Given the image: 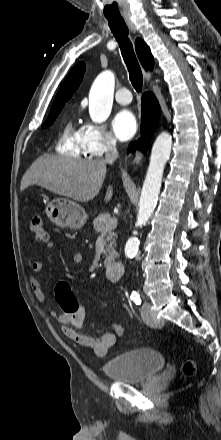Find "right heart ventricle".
Listing matches in <instances>:
<instances>
[{"mask_svg":"<svg viewBox=\"0 0 221 440\" xmlns=\"http://www.w3.org/2000/svg\"><path fill=\"white\" fill-rule=\"evenodd\" d=\"M56 150L58 153L71 158L79 159L88 156L82 128H77L70 120L65 122L56 143Z\"/></svg>","mask_w":221,"mask_h":440,"instance_id":"right-heart-ventricle-1","label":"right heart ventricle"}]
</instances>
